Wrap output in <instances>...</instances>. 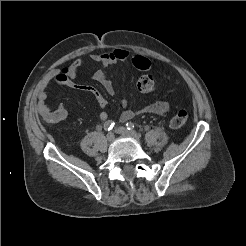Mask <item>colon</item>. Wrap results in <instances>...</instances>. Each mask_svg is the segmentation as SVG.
<instances>
[{
	"label": "colon",
	"instance_id": "colon-1",
	"mask_svg": "<svg viewBox=\"0 0 246 246\" xmlns=\"http://www.w3.org/2000/svg\"><path fill=\"white\" fill-rule=\"evenodd\" d=\"M131 60L133 65L142 71L149 70L151 67L149 59L142 55L134 54L132 55ZM137 87L141 92L151 93L156 89V82L151 75L145 74L139 77ZM187 120V111L180 110L171 119V125L174 128H180L186 124Z\"/></svg>",
	"mask_w": 246,
	"mask_h": 246
}]
</instances>
